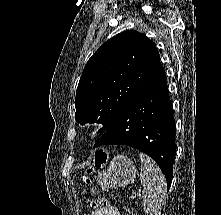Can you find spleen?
<instances>
[{
	"label": "spleen",
	"instance_id": "3e777b00",
	"mask_svg": "<svg viewBox=\"0 0 221 215\" xmlns=\"http://www.w3.org/2000/svg\"><path fill=\"white\" fill-rule=\"evenodd\" d=\"M143 210L146 215H157L166 192V179L159 166L149 156L140 153Z\"/></svg>",
	"mask_w": 221,
	"mask_h": 215
}]
</instances>
